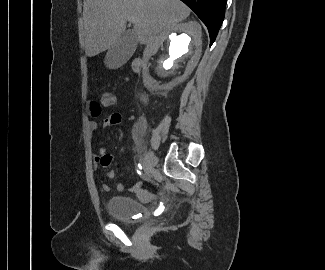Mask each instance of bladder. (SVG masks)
I'll list each match as a JSON object with an SVG mask.
<instances>
[{"mask_svg": "<svg viewBox=\"0 0 325 270\" xmlns=\"http://www.w3.org/2000/svg\"><path fill=\"white\" fill-rule=\"evenodd\" d=\"M106 208L113 218L126 223H135L148 216L147 207L128 196L110 197L107 200Z\"/></svg>", "mask_w": 325, "mask_h": 270, "instance_id": "31cf9c89", "label": "bladder"}]
</instances>
